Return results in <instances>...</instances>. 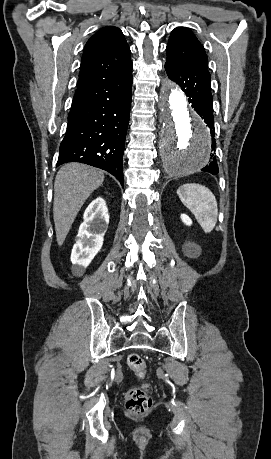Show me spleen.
Returning <instances> with one entry per match:
<instances>
[{"label":"spleen","mask_w":271,"mask_h":459,"mask_svg":"<svg viewBox=\"0 0 271 459\" xmlns=\"http://www.w3.org/2000/svg\"><path fill=\"white\" fill-rule=\"evenodd\" d=\"M181 188H187V192H183V198H180L181 202L188 210H191L205 233L212 231L216 226L218 216L215 196L208 188L199 186V184H185Z\"/></svg>","instance_id":"3e777b00"}]
</instances>
